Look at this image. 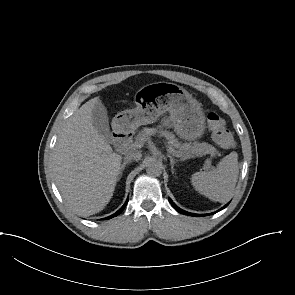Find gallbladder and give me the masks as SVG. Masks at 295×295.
Here are the masks:
<instances>
[{"mask_svg": "<svg viewBox=\"0 0 295 295\" xmlns=\"http://www.w3.org/2000/svg\"><path fill=\"white\" fill-rule=\"evenodd\" d=\"M92 123L95 129L104 139L108 142H112V134L109 128V119L105 106L98 101L92 110Z\"/></svg>", "mask_w": 295, "mask_h": 295, "instance_id": "bac80fb5", "label": "gallbladder"}]
</instances>
